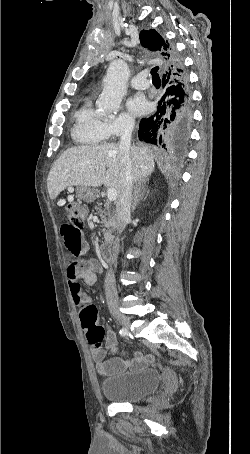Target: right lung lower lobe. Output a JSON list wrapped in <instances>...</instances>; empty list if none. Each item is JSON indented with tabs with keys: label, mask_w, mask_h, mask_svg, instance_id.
<instances>
[{
	"label": "right lung lower lobe",
	"mask_w": 250,
	"mask_h": 454,
	"mask_svg": "<svg viewBox=\"0 0 250 454\" xmlns=\"http://www.w3.org/2000/svg\"><path fill=\"white\" fill-rule=\"evenodd\" d=\"M172 73L162 76L163 95L158 101L157 111L139 124L138 137L146 143L165 149L182 147L188 137L192 120L191 98L187 74L178 52L170 44Z\"/></svg>",
	"instance_id": "right-lung-lower-lobe-1"
}]
</instances>
